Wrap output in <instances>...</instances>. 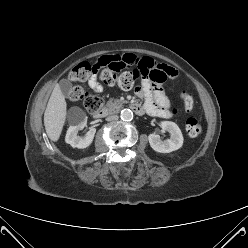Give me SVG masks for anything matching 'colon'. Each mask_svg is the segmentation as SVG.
Segmentation results:
<instances>
[{
    "mask_svg": "<svg viewBox=\"0 0 248 248\" xmlns=\"http://www.w3.org/2000/svg\"><path fill=\"white\" fill-rule=\"evenodd\" d=\"M99 63L90 64L82 63L74 67L70 74L69 79L73 82L86 81L91 76H98L102 83L106 85H118L122 89H131L138 81L144 79H150L154 82L161 83L165 80V77L158 79L153 72L147 73L141 70H132L118 73L113 68L105 66ZM69 99L71 101L82 100L86 110L94 114L102 108V100L94 95L89 94L84 88L75 86L69 93ZM181 101L186 111H190L193 108L194 101L191 93L184 91L181 93ZM186 131L191 137L198 136L202 132V125L197 118L190 117L186 121Z\"/></svg>",
    "mask_w": 248,
    "mask_h": 248,
    "instance_id": "obj_1",
    "label": "colon"
}]
</instances>
